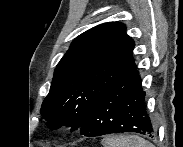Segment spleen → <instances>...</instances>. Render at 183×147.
Here are the masks:
<instances>
[{
    "mask_svg": "<svg viewBox=\"0 0 183 147\" xmlns=\"http://www.w3.org/2000/svg\"><path fill=\"white\" fill-rule=\"evenodd\" d=\"M101 142L103 147H154L147 140L135 135H110Z\"/></svg>",
    "mask_w": 183,
    "mask_h": 147,
    "instance_id": "1",
    "label": "spleen"
}]
</instances>
